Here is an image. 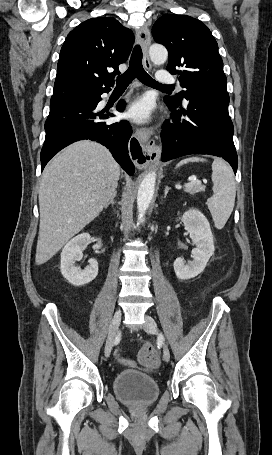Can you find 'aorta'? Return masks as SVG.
<instances>
[{
  "mask_svg": "<svg viewBox=\"0 0 272 455\" xmlns=\"http://www.w3.org/2000/svg\"><path fill=\"white\" fill-rule=\"evenodd\" d=\"M149 55L154 64L160 65L168 58L167 49L154 44L149 49ZM156 183V173H148L142 180L137 194L138 224L144 221V216L152 201Z\"/></svg>",
  "mask_w": 272,
  "mask_h": 455,
  "instance_id": "762f6f07",
  "label": "aorta"
}]
</instances>
